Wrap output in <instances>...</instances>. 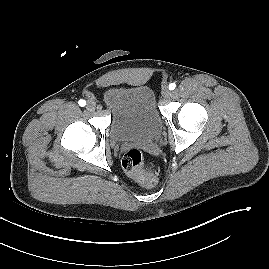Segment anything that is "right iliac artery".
<instances>
[{"instance_id":"1","label":"right iliac artery","mask_w":269,"mask_h":269,"mask_svg":"<svg viewBox=\"0 0 269 269\" xmlns=\"http://www.w3.org/2000/svg\"><path fill=\"white\" fill-rule=\"evenodd\" d=\"M78 104L81 106V107H84L86 105V101L81 99L79 100Z\"/></svg>"}]
</instances>
